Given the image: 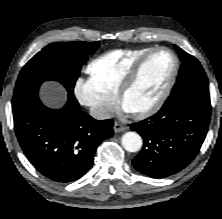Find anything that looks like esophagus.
Here are the masks:
<instances>
[{
  "instance_id": "34e87169",
  "label": "esophagus",
  "mask_w": 222,
  "mask_h": 219,
  "mask_svg": "<svg viewBox=\"0 0 222 219\" xmlns=\"http://www.w3.org/2000/svg\"><path fill=\"white\" fill-rule=\"evenodd\" d=\"M126 128H127L126 126H124L123 124H121L117 121H115L114 126H113L114 132H116V133L122 132V131L126 130Z\"/></svg>"
}]
</instances>
